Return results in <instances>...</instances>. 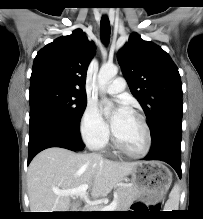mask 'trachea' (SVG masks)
<instances>
[{
	"mask_svg": "<svg viewBox=\"0 0 203 219\" xmlns=\"http://www.w3.org/2000/svg\"><path fill=\"white\" fill-rule=\"evenodd\" d=\"M111 28L107 16H103L100 22V36L104 44H107L110 38Z\"/></svg>",
	"mask_w": 203,
	"mask_h": 219,
	"instance_id": "obj_1",
	"label": "trachea"
}]
</instances>
